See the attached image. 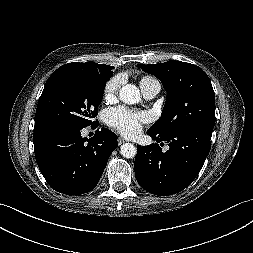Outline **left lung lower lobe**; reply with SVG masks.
I'll list each match as a JSON object with an SVG mask.
<instances>
[{
  "instance_id": "0a47b994",
  "label": "left lung lower lobe",
  "mask_w": 253,
  "mask_h": 253,
  "mask_svg": "<svg viewBox=\"0 0 253 253\" xmlns=\"http://www.w3.org/2000/svg\"><path fill=\"white\" fill-rule=\"evenodd\" d=\"M213 127L198 125L180 129L168 136L147 134L159 144L137 146L134 168L137 182L149 193L165 196L185 189L197 176L211 148ZM164 143H161L163 145Z\"/></svg>"
}]
</instances>
